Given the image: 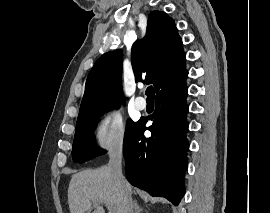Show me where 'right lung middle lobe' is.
<instances>
[{
	"instance_id": "dd1d6c3e",
	"label": "right lung middle lobe",
	"mask_w": 270,
	"mask_h": 213,
	"mask_svg": "<svg viewBox=\"0 0 270 213\" xmlns=\"http://www.w3.org/2000/svg\"><path fill=\"white\" fill-rule=\"evenodd\" d=\"M102 113L103 112H100L77 121L72 149V157L74 162L82 163L94 158L95 156L105 153L104 150L97 148L93 137V130ZM133 125V121L129 119L125 135L130 131Z\"/></svg>"
}]
</instances>
